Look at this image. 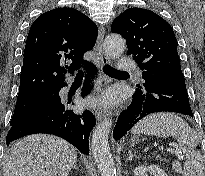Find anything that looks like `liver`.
Wrapping results in <instances>:
<instances>
[{"mask_svg": "<svg viewBox=\"0 0 205 176\" xmlns=\"http://www.w3.org/2000/svg\"><path fill=\"white\" fill-rule=\"evenodd\" d=\"M76 157V148L59 137L29 135L6 151L4 176H68Z\"/></svg>", "mask_w": 205, "mask_h": 176, "instance_id": "obj_1", "label": "liver"}]
</instances>
